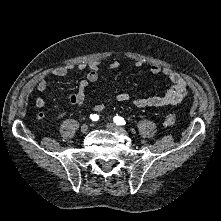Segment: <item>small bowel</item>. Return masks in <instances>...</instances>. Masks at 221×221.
Wrapping results in <instances>:
<instances>
[{
  "mask_svg": "<svg viewBox=\"0 0 221 221\" xmlns=\"http://www.w3.org/2000/svg\"><path fill=\"white\" fill-rule=\"evenodd\" d=\"M137 66H141L140 61L136 62ZM119 67L118 61H112L108 64L109 70H114ZM88 69V72L83 80L78 85L76 92H71L67 95L68 100L71 103L83 106L86 99L85 90L98 80L100 62L98 60L81 61L76 64H68L65 66L55 67L51 74L56 77H65L69 73L78 70ZM149 71L153 75H163L170 83L171 86L167 92L162 96L152 97H139L132 98L128 93L121 92L117 95L119 102H131L137 108H165L168 106H174L179 104L188 94V84L186 79L178 72L172 71L169 68H162L158 64H152ZM36 88L39 92H45L48 89V83L44 78L38 80ZM46 105L45 99L38 97L35 100V106L39 109H43ZM107 104L100 103L95 105L94 110L97 112L106 109ZM62 114L59 115L61 117ZM44 113L40 112L38 118L44 119Z\"/></svg>",
  "mask_w": 221,
  "mask_h": 221,
  "instance_id": "c3829d8e",
  "label": "small bowel"
}]
</instances>
